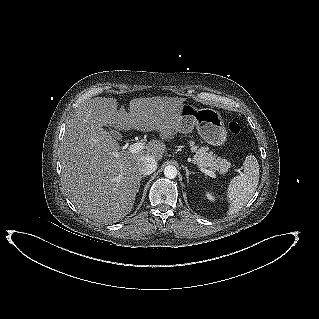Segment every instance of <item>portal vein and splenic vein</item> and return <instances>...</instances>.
<instances>
[{
	"instance_id": "obj_1",
	"label": "portal vein and splenic vein",
	"mask_w": 319,
	"mask_h": 319,
	"mask_svg": "<svg viewBox=\"0 0 319 319\" xmlns=\"http://www.w3.org/2000/svg\"><path fill=\"white\" fill-rule=\"evenodd\" d=\"M144 143L142 142H137V143H133L132 145L129 146L128 150L130 153H138L139 151L144 149ZM200 171H202L203 173H205L206 175L212 177V178H216V175L213 171L209 170V169H205L200 167ZM236 172L241 173L240 170H236Z\"/></svg>"
}]
</instances>
